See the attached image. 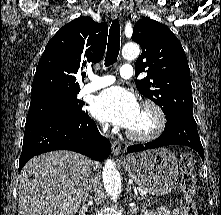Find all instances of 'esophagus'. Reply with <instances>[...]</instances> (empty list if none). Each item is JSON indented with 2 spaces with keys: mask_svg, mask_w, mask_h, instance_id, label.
Wrapping results in <instances>:
<instances>
[{
  "mask_svg": "<svg viewBox=\"0 0 221 215\" xmlns=\"http://www.w3.org/2000/svg\"><path fill=\"white\" fill-rule=\"evenodd\" d=\"M120 15H121L120 9L115 8V9L112 10L111 16H112L113 19H116V18L120 17ZM121 149H122L121 143L118 140L114 139L112 141L113 153L115 155H119L121 153Z\"/></svg>",
  "mask_w": 221,
  "mask_h": 215,
  "instance_id": "1",
  "label": "esophagus"
}]
</instances>
